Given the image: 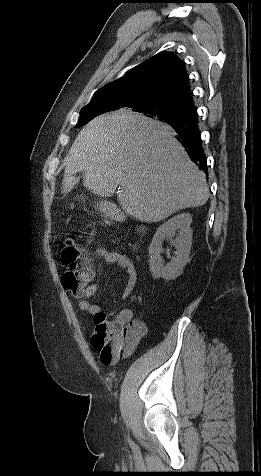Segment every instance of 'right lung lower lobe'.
Returning a JSON list of instances; mask_svg holds the SVG:
<instances>
[{
    "label": "right lung lower lobe",
    "mask_w": 261,
    "mask_h": 476,
    "mask_svg": "<svg viewBox=\"0 0 261 476\" xmlns=\"http://www.w3.org/2000/svg\"><path fill=\"white\" fill-rule=\"evenodd\" d=\"M168 124L177 133L181 144L190 158L207 174L205 155L198 129V114L196 108L185 111L181 119L169 122Z\"/></svg>",
    "instance_id": "right-lung-lower-lobe-1"
}]
</instances>
